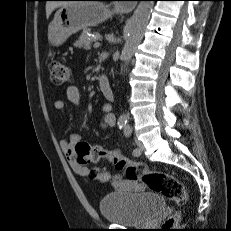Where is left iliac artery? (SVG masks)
Listing matches in <instances>:
<instances>
[{
  "label": "left iliac artery",
  "mask_w": 231,
  "mask_h": 231,
  "mask_svg": "<svg viewBox=\"0 0 231 231\" xmlns=\"http://www.w3.org/2000/svg\"><path fill=\"white\" fill-rule=\"evenodd\" d=\"M131 133H132V128L129 126V125H127L125 128H124V135L126 136V137H130L131 136ZM140 151L136 148V149H134L133 150V155L134 156H138V155H140Z\"/></svg>",
  "instance_id": "1"
}]
</instances>
